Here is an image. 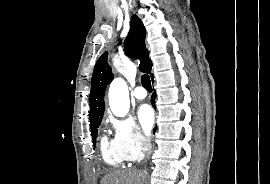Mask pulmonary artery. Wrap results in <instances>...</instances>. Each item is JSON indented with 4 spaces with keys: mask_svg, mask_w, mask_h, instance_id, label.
Masks as SVG:
<instances>
[{
    "mask_svg": "<svg viewBox=\"0 0 270 184\" xmlns=\"http://www.w3.org/2000/svg\"><path fill=\"white\" fill-rule=\"evenodd\" d=\"M133 94L135 98L139 100H142L147 96L146 90L141 86L136 87Z\"/></svg>",
    "mask_w": 270,
    "mask_h": 184,
    "instance_id": "e3ab8cb5",
    "label": "pulmonary artery"
}]
</instances>
